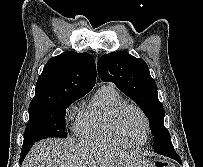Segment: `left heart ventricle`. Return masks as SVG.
<instances>
[{"mask_svg": "<svg viewBox=\"0 0 203 167\" xmlns=\"http://www.w3.org/2000/svg\"><path fill=\"white\" fill-rule=\"evenodd\" d=\"M119 129L124 137L132 143H140L144 139V121L140 114L133 109L123 113L119 120Z\"/></svg>", "mask_w": 203, "mask_h": 167, "instance_id": "1", "label": "left heart ventricle"}]
</instances>
